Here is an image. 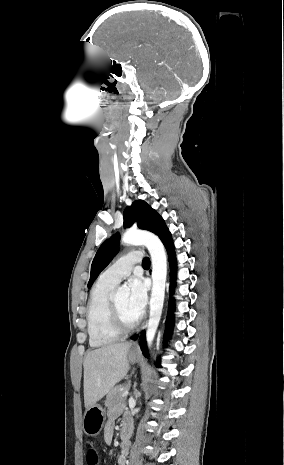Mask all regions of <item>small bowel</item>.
Wrapping results in <instances>:
<instances>
[{
  "mask_svg": "<svg viewBox=\"0 0 284 465\" xmlns=\"http://www.w3.org/2000/svg\"><path fill=\"white\" fill-rule=\"evenodd\" d=\"M120 408H114L109 412V419L106 423L105 430H104V438L107 443L111 442L114 434V427H115V420L120 415ZM127 433V439H122L120 448H121V455L118 458V465H126L127 464V454L129 449V438L132 433V423L128 418H124L122 423L121 433Z\"/></svg>",
  "mask_w": 284,
  "mask_h": 465,
  "instance_id": "obj_1",
  "label": "small bowel"
}]
</instances>
